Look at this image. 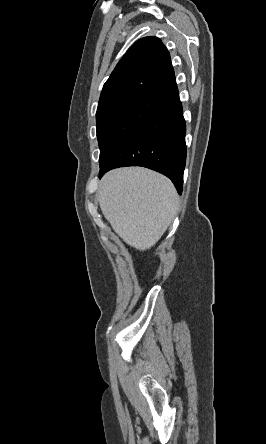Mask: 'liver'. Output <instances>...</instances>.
Returning <instances> with one entry per match:
<instances>
[{
  "mask_svg": "<svg viewBox=\"0 0 266 444\" xmlns=\"http://www.w3.org/2000/svg\"><path fill=\"white\" fill-rule=\"evenodd\" d=\"M98 199L115 233L142 251L158 242L178 209V194L172 182L140 167L106 173L100 182Z\"/></svg>",
  "mask_w": 266,
  "mask_h": 444,
  "instance_id": "1",
  "label": "liver"
}]
</instances>
